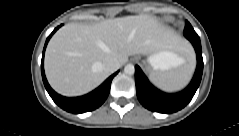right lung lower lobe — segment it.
Returning a JSON list of instances; mask_svg holds the SVG:
<instances>
[{"instance_id": "98d812e1", "label": "right lung lower lobe", "mask_w": 239, "mask_h": 136, "mask_svg": "<svg viewBox=\"0 0 239 136\" xmlns=\"http://www.w3.org/2000/svg\"><path fill=\"white\" fill-rule=\"evenodd\" d=\"M54 29V31L48 36L45 46L43 49V55H42V61H41V73H42V79L44 86L53 99V101L62 109L70 112V113H84V112H89L92 110H95L99 106H101L106 98L108 97V94L110 92V87H111V82L114 76L118 73H114L111 75L102 85H100L97 89L94 91L90 92L87 95L81 96V97H73V98H68L61 96L57 94L48 84L47 79L45 77L44 73V66H43V59H44V52L46 45L50 39V37L54 34V32L59 28Z\"/></svg>"}]
</instances>
